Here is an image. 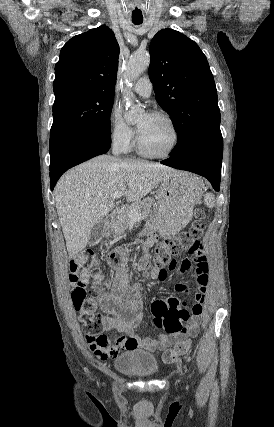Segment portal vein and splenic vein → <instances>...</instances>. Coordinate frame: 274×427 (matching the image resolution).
I'll return each mask as SVG.
<instances>
[{"mask_svg":"<svg viewBox=\"0 0 274 427\" xmlns=\"http://www.w3.org/2000/svg\"><path fill=\"white\" fill-rule=\"evenodd\" d=\"M121 196H124L123 192H115L111 198L112 200H116V198H121ZM128 215L131 219H136V221L140 219L138 212H135V210H129Z\"/></svg>","mask_w":274,"mask_h":427,"instance_id":"obj_1","label":"portal vein and splenic vein"}]
</instances>
